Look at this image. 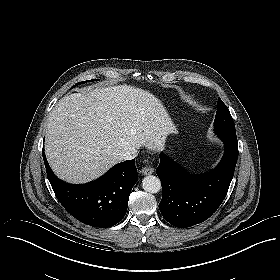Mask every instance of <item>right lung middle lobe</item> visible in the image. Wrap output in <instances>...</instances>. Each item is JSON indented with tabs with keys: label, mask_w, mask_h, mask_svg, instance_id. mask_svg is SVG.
Segmentation results:
<instances>
[{
	"label": "right lung middle lobe",
	"mask_w": 280,
	"mask_h": 280,
	"mask_svg": "<svg viewBox=\"0 0 280 280\" xmlns=\"http://www.w3.org/2000/svg\"><path fill=\"white\" fill-rule=\"evenodd\" d=\"M91 81H97V79H95V80H89V82H91ZM85 82H87V81L79 82V83H77V84H75V85H79V84H82V83H85Z\"/></svg>",
	"instance_id": "1"
}]
</instances>
